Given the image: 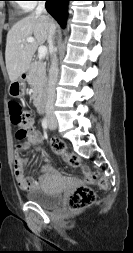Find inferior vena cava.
Instances as JSON below:
<instances>
[{"instance_id": "1", "label": "inferior vena cava", "mask_w": 133, "mask_h": 253, "mask_svg": "<svg viewBox=\"0 0 133 253\" xmlns=\"http://www.w3.org/2000/svg\"><path fill=\"white\" fill-rule=\"evenodd\" d=\"M36 14H46L45 9V1H39L38 6L35 11ZM55 34V26L51 25L49 28V35H48V44L51 49V65L49 69V79H48V85H47V98H46V117L48 119L55 120V112H54V102H55V86L58 81V74H59V68H58V60L56 57V53L53 48V37Z\"/></svg>"}]
</instances>
